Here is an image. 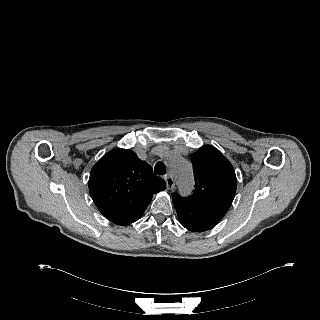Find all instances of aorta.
<instances>
[{
	"instance_id": "762f6f07",
	"label": "aorta",
	"mask_w": 320,
	"mask_h": 320,
	"mask_svg": "<svg viewBox=\"0 0 320 320\" xmlns=\"http://www.w3.org/2000/svg\"><path fill=\"white\" fill-rule=\"evenodd\" d=\"M168 163L179 190L184 194H188L194 185L191 164L181 156H170Z\"/></svg>"
}]
</instances>
